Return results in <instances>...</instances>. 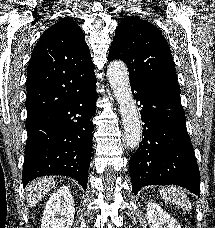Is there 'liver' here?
<instances>
[{"label":"liver","mask_w":215,"mask_h":228,"mask_svg":"<svg viewBox=\"0 0 215 228\" xmlns=\"http://www.w3.org/2000/svg\"><path fill=\"white\" fill-rule=\"evenodd\" d=\"M55 184L56 182H54L53 178H38V180L29 182L25 188L27 206L29 208L36 206L39 200L44 198L45 194H48L52 188H55Z\"/></svg>","instance_id":"obj_1"}]
</instances>
